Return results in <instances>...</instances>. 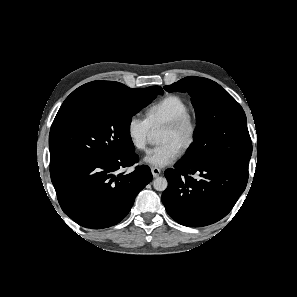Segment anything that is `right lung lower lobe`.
<instances>
[{
  "label": "right lung lower lobe",
  "mask_w": 297,
  "mask_h": 297,
  "mask_svg": "<svg viewBox=\"0 0 297 297\" xmlns=\"http://www.w3.org/2000/svg\"><path fill=\"white\" fill-rule=\"evenodd\" d=\"M139 161L135 152L71 162L51 173L59 204L79 225L92 229L119 223L137 194L152 180L148 166L128 174L118 170Z\"/></svg>",
  "instance_id": "98d812e1"
}]
</instances>
